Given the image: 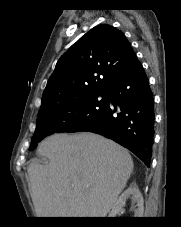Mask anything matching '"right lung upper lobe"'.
Instances as JSON below:
<instances>
[{
  "label": "right lung upper lobe",
  "instance_id": "1",
  "mask_svg": "<svg viewBox=\"0 0 181 227\" xmlns=\"http://www.w3.org/2000/svg\"><path fill=\"white\" fill-rule=\"evenodd\" d=\"M135 56L125 35L115 27L104 24L92 28L58 60L43 92L40 110L108 91Z\"/></svg>",
  "mask_w": 181,
  "mask_h": 227
}]
</instances>
